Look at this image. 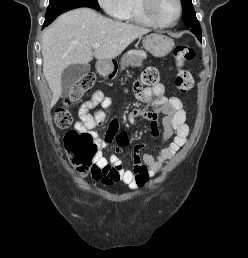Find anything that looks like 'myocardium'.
<instances>
[{"label": "myocardium", "mask_w": 248, "mask_h": 258, "mask_svg": "<svg viewBox=\"0 0 248 258\" xmlns=\"http://www.w3.org/2000/svg\"><path fill=\"white\" fill-rule=\"evenodd\" d=\"M153 2H154V0H141L142 11H143L145 17L148 19V21L153 26H157V27H161V28H168V27L174 26L179 21L181 15H182L181 0H176L177 8H178L177 15H176L175 19L170 23H163L155 17L153 10H152Z\"/></svg>", "instance_id": "f54148a6"}]
</instances>
